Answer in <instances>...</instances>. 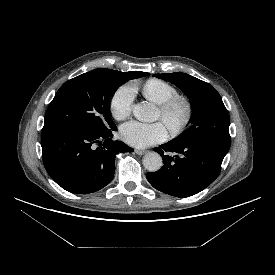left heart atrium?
<instances>
[{
  "label": "left heart atrium",
  "mask_w": 275,
  "mask_h": 275,
  "mask_svg": "<svg viewBox=\"0 0 275 275\" xmlns=\"http://www.w3.org/2000/svg\"><path fill=\"white\" fill-rule=\"evenodd\" d=\"M120 135L127 144L145 148L165 141L168 137V130L163 122L130 121L121 126Z\"/></svg>",
  "instance_id": "left-heart-atrium-1"
}]
</instances>
